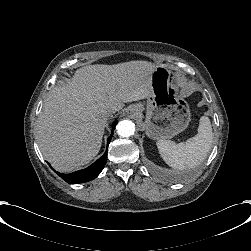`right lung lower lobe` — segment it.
Returning a JSON list of instances; mask_svg holds the SVG:
<instances>
[{"label": "right lung lower lobe", "instance_id": "right-lung-lower-lobe-1", "mask_svg": "<svg viewBox=\"0 0 251 251\" xmlns=\"http://www.w3.org/2000/svg\"><path fill=\"white\" fill-rule=\"evenodd\" d=\"M115 126H116V122L113 124L111 135L107 139V148L112 138ZM106 161H107V150L101 158H99L95 163H93L91 166H89L86 169H82V170H79L70 174H61L56 171L55 172L69 184L84 183V182H88L96 178L100 174V172L103 170L106 164Z\"/></svg>", "mask_w": 251, "mask_h": 251}]
</instances>
